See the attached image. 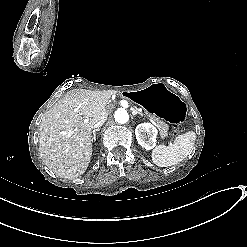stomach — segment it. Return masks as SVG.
<instances>
[{
  "label": "stomach",
  "instance_id": "1",
  "mask_svg": "<svg viewBox=\"0 0 247 247\" xmlns=\"http://www.w3.org/2000/svg\"><path fill=\"white\" fill-rule=\"evenodd\" d=\"M126 96L142 106L151 117H157L170 124H181L185 120L186 103L163 84H153L130 91Z\"/></svg>",
  "mask_w": 247,
  "mask_h": 247
}]
</instances>
